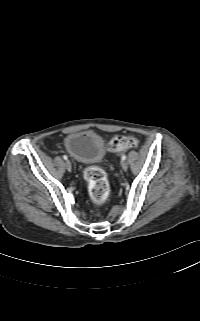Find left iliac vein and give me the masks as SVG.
<instances>
[{
    "label": "left iliac vein",
    "mask_w": 200,
    "mask_h": 321,
    "mask_svg": "<svg viewBox=\"0 0 200 321\" xmlns=\"http://www.w3.org/2000/svg\"><path fill=\"white\" fill-rule=\"evenodd\" d=\"M121 167L124 171H126L128 169V164L126 161L122 160L121 161Z\"/></svg>",
    "instance_id": "obj_1"
}]
</instances>
